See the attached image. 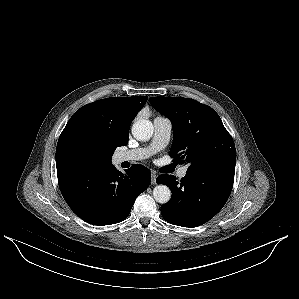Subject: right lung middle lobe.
I'll return each mask as SVG.
<instances>
[{
  "instance_id": "dd1d6c3e",
  "label": "right lung middle lobe",
  "mask_w": 299,
  "mask_h": 299,
  "mask_svg": "<svg viewBox=\"0 0 299 299\" xmlns=\"http://www.w3.org/2000/svg\"><path fill=\"white\" fill-rule=\"evenodd\" d=\"M115 148L106 146L102 140L96 136L83 137L67 143L66 151L82 163L96 164L99 156L104 155L101 164L111 163V157Z\"/></svg>"
}]
</instances>
